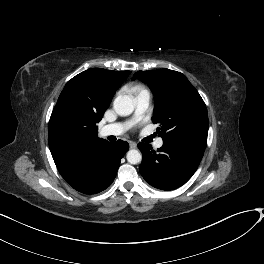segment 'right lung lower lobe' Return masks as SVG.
Instances as JSON below:
<instances>
[{
  "mask_svg": "<svg viewBox=\"0 0 264 264\" xmlns=\"http://www.w3.org/2000/svg\"><path fill=\"white\" fill-rule=\"evenodd\" d=\"M128 149L125 141H104L59 172L75 190L84 194L99 193L115 179L120 161Z\"/></svg>",
  "mask_w": 264,
  "mask_h": 264,
  "instance_id": "obj_1",
  "label": "right lung lower lobe"
}]
</instances>
